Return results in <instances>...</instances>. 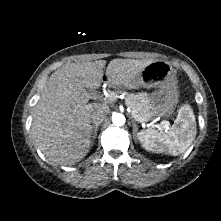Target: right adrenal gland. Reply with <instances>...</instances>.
<instances>
[{
  "instance_id": "obj_1",
  "label": "right adrenal gland",
  "mask_w": 221,
  "mask_h": 221,
  "mask_svg": "<svg viewBox=\"0 0 221 221\" xmlns=\"http://www.w3.org/2000/svg\"><path fill=\"white\" fill-rule=\"evenodd\" d=\"M100 123H95L92 125L91 127V131H92V138L95 139L97 136V131H98V127H99Z\"/></svg>"
}]
</instances>
